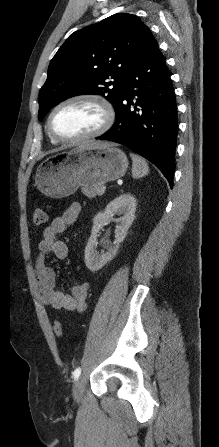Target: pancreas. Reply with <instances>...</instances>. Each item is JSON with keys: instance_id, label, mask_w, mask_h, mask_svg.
<instances>
[{"instance_id": "1", "label": "pancreas", "mask_w": 219, "mask_h": 447, "mask_svg": "<svg viewBox=\"0 0 219 447\" xmlns=\"http://www.w3.org/2000/svg\"><path fill=\"white\" fill-rule=\"evenodd\" d=\"M103 188V185H85L81 190L88 198H94L97 195H102L104 193L102 191Z\"/></svg>"}]
</instances>
